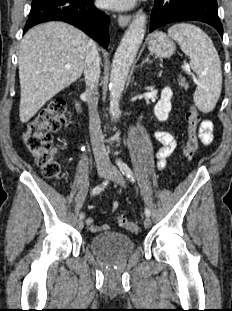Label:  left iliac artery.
<instances>
[{
    "label": "left iliac artery",
    "mask_w": 232,
    "mask_h": 311,
    "mask_svg": "<svg viewBox=\"0 0 232 311\" xmlns=\"http://www.w3.org/2000/svg\"><path fill=\"white\" fill-rule=\"evenodd\" d=\"M116 163H117L118 167L120 168L121 172H122L127 178H129L130 181L134 182V181H135V177H134L133 172H132V170L130 169V167H129L126 163H124L123 161H121V160H119V159L116 161ZM145 215H146L147 217H149V216L151 215V212H150V210H149L148 208L145 209Z\"/></svg>",
    "instance_id": "44dca946"
}]
</instances>
